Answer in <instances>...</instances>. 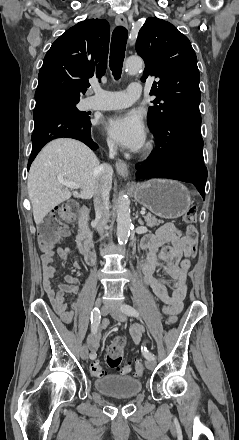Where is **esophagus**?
<instances>
[{
    "label": "esophagus",
    "mask_w": 239,
    "mask_h": 440,
    "mask_svg": "<svg viewBox=\"0 0 239 440\" xmlns=\"http://www.w3.org/2000/svg\"><path fill=\"white\" fill-rule=\"evenodd\" d=\"M115 23L118 26L120 25L126 28L128 26V22L123 14H119L116 16ZM115 168L119 175H121L123 178H128V166L123 160H116Z\"/></svg>",
    "instance_id": "obj_1"
}]
</instances>
